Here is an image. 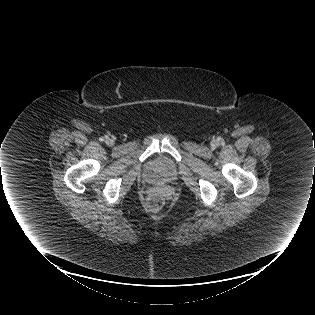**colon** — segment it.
Returning <instances> with one entry per match:
<instances>
[{
	"label": "colon",
	"mask_w": 315,
	"mask_h": 315,
	"mask_svg": "<svg viewBox=\"0 0 315 315\" xmlns=\"http://www.w3.org/2000/svg\"><path fill=\"white\" fill-rule=\"evenodd\" d=\"M164 195L159 191L152 192L147 200V207L149 210H159L164 205Z\"/></svg>",
	"instance_id": "colon-1"
}]
</instances>
